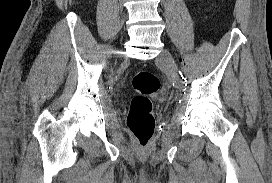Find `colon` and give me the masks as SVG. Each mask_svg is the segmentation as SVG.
<instances>
[{"label": "colon", "instance_id": "5ec220e1", "mask_svg": "<svg viewBox=\"0 0 272 183\" xmlns=\"http://www.w3.org/2000/svg\"><path fill=\"white\" fill-rule=\"evenodd\" d=\"M132 87L136 95L131 100L126 123L137 144L145 147L155 130L151 97L157 95L160 80L150 71H140L133 77Z\"/></svg>", "mask_w": 272, "mask_h": 183}]
</instances>
